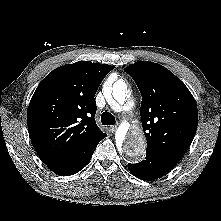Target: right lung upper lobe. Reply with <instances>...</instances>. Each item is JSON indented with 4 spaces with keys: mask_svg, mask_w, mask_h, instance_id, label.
<instances>
[{
    "mask_svg": "<svg viewBox=\"0 0 221 221\" xmlns=\"http://www.w3.org/2000/svg\"><path fill=\"white\" fill-rule=\"evenodd\" d=\"M113 68L79 61L53 70L39 84L29 103L27 125L46 165L106 136L95 122L94 96Z\"/></svg>",
    "mask_w": 221,
    "mask_h": 221,
    "instance_id": "obj_1",
    "label": "right lung upper lobe"
}]
</instances>
